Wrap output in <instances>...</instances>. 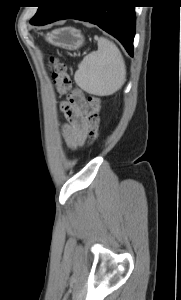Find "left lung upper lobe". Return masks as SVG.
Instances as JSON below:
<instances>
[{"label": "left lung upper lobe", "instance_id": "left-lung-upper-lobe-1", "mask_svg": "<svg viewBox=\"0 0 181 300\" xmlns=\"http://www.w3.org/2000/svg\"><path fill=\"white\" fill-rule=\"evenodd\" d=\"M56 0H39L36 1L37 3L41 4V6L38 8L37 13L35 16L30 20V23L32 25H38L51 11L55 4Z\"/></svg>", "mask_w": 181, "mask_h": 300}]
</instances>
